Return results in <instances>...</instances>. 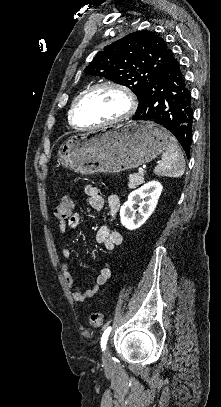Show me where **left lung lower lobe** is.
Wrapping results in <instances>:
<instances>
[{"instance_id":"0a47b994","label":"left lung lower lobe","mask_w":221,"mask_h":407,"mask_svg":"<svg viewBox=\"0 0 221 407\" xmlns=\"http://www.w3.org/2000/svg\"><path fill=\"white\" fill-rule=\"evenodd\" d=\"M133 120L157 123L169 130L190 157L192 97L184 72L173 56L169 64L150 80L139 99Z\"/></svg>"}]
</instances>
